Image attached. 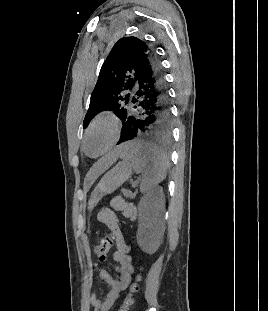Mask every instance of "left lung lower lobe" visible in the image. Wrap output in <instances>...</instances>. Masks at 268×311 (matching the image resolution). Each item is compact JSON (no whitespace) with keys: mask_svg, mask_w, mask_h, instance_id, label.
<instances>
[{"mask_svg":"<svg viewBox=\"0 0 268 311\" xmlns=\"http://www.w3.org/2000/svg\"><path fill=\"white\" fill-rule=\"evenodd\" d=\"M171 112L162 65L157 55L143 59L131 97V109L123 123L122 140L168 141Z\"/></svg>","mask_w":268,"mask_h":311,"instance_id":"left-lung-lower-lobe-1","label":"left lung lower lobe"}]
</instances>
